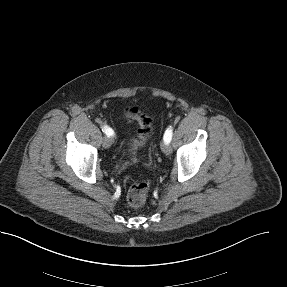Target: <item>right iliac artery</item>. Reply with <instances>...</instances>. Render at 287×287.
<instances>
[{
  "mask_svg": "<svg viewBox=\"0 0 287 287\" xmlns=\"http://www.w3.org/2000/svg\"><path fill=\"white\" fill-rule=\"evenodd\" d=\"M102 131L109 137L114 134L113 130L108 126H103Z\"/></svg>",
  "mask_w": 287,
  "mask_h": 287,
  "instance_id": "right-iliac-artery-1",
  "label": "right iliac artery"
}]
</instances>
